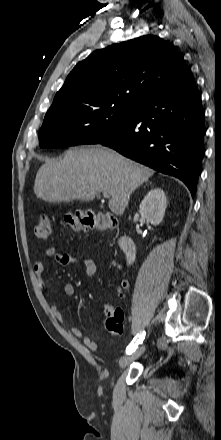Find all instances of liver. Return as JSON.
Here are the masks:
<instances>
[{
    "label": "liver",
    "instance_id": "1",
    "mask_svg": "<svg viewBox=\"0 0 221 440\" xmlns=\"http://www.w3.org/2000/svg\"><path fill=\"white\" fill-rule=\"evenodd\" d=\"M154 174L149 167L100 145L69 149L60 161L46 160L34 183L36 196L47 202L91 201L107 192L109 209L123 215L130 195Z\"/></svg>",
    "mask_w": 221,
    "mask_h": 440
}]
</instances>
